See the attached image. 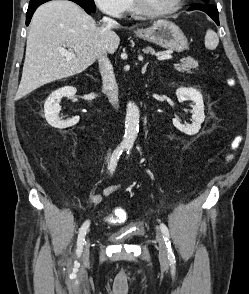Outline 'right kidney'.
<instances>
[{
	"mask_svg": "<svg viewBox=\"0 0 249 294\" xmlns=\"http://www.w3.org/2000/svg\"><path fill=\"white\" fill-rule=\"evenodd\" d=\"M76 88L66 86L54 91L45 101L44 113L46 121L54 128L64 129L71 127L79 122V116H75L69 120H62L59 117L61 107L59 105L63 97H71L76 93Z\"/></svg>",
	"mask_w": 249,
	"mask_h": 294,
	"instance_id": "ca27d5eb",
	"label": "right kidney"
}]
</instances>
